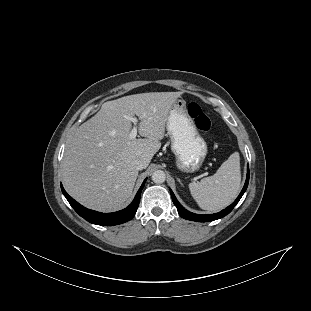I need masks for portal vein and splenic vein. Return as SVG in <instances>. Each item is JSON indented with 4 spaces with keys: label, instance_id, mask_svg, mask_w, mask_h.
Here are the masks:
<instances>
[{
    "label": "portal vein and splenic vein",
    "instance_id": "1",
    "mask_svg": "<svg viewBox=\"0 0 311 311\" xmlns=\"http://www.w3.org/2000/svg\"><path fill=\"white\" fill-rule=\"evenodd\" d=\"M127 119L133 123V127L130 132V138L134 139L138 135L139 121L141 119L137 117H127Z\"/></svg>",
    "mask_w": 311,
    "mask_h": 311
}]
</instances>
